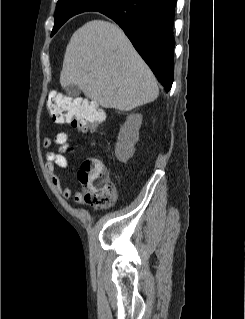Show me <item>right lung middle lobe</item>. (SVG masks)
I'll list each match as a JSON object with an SVG mask.
<instances>
[{"instance_id":"obj_1","label":"right lung middle lobe","mask_w":245,"mask_h":319,"mask_svg":"<svg viewBox=\"0 0 245 319\" xmlns=\"http://www.w3.org/2000/svg\"><path fill=\"white\" fill-rule=\"evenodd\" d=\"M122 1L123 0H83L80 6L84 9V11H101L113 7ZM70 4L71 3L69 1L65 0L57 2L52 35H54L56 31L64 24L63 23L61 26L59 25V23L67 17V8Z\"/></svg>"}]
</instances>
